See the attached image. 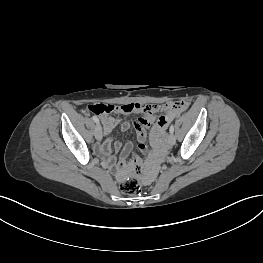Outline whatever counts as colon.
I'll return each mask as SVG.
<instances>
[{
  "label": "colon",
  "instance_id": "colon-1",
  "mask_svg": "<svg viewBox=\"0 0 263 263\" xmlns=\"http://www.w3.org/2000/svg\"><path fill=\"white\" fill-rule=\"evenodd\" d=\"M169 103H174L177 106V111L182 112L186 109L187 105L183 101H176V102H167L166 100H163L162 102H146L144 104L140 103H135L133 101H127L122 104L114 106L112 103L109 104H95V105H90L88 107V111L92 112L97 115H101L107 112H112L114 111L116 114H122V115H138V114H152L153 112L155 114H158L160 111H163L169 106ZM170 118L173 115H168ZM157 119H160L162 121V118L158 116ZM155 126L154 123L152 124V127ZM168 126V124H167ZM164 136L165 129L161 131ZM151 134H149V140H150ZM162 144V140L160 141ZM151 146L153 145L151 143ZM163 162V157L160 156V160L156 163V165H160ZM120 190L125 193V194H136L140 191V183L136 179H128L120 183Z\"/></svg>",
  "mask_w": 263,
  "mask_h": 263
}]
</instances>
